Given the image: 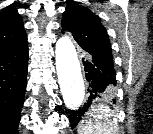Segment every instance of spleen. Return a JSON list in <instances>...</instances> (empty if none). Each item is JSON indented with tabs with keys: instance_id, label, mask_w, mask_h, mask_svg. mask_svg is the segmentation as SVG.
Masks as SVG:
<instances>
[{
	"instance_id": "spleen-1",
	"label": "spleen",
	"mask_w": 153,
	"mask_h": 134,
	"mask_svg": "<svg viewBox=\"0 0 153 134\" xmlns=\"http://www.w3.org/2000/svg\"><path fill=\"white\" fill-rule=\"evenodd\" d=\"M116 114L104 103L93 104L78 126V134H118Z\"/></svg>"
}]
</instances>
